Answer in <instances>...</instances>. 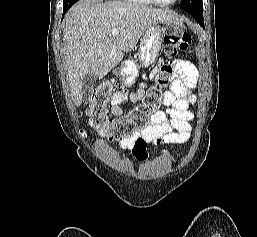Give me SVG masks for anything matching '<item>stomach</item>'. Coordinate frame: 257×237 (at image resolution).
Wrapping results in <instances>:
<instances>
[{"instance_id": "0dacf381", "label": "stomach", "mask_w": 257, "mask_h": 237, "mask_svg": "<svg viewBox=\"0 0 257 237\" xmlns=\"http://www.w3.org/2000/svg\"><path fill=\"white\" fill-rule=\"evenodd\" d=\"M165 34L164 26L158 23L149 26L140 39L138 60L140 65L147 67L151 65L158 56ZM123 85L131 86L138 76L137 65L134 61H125L118 70Z\"/></svg>"}]
</instances>
